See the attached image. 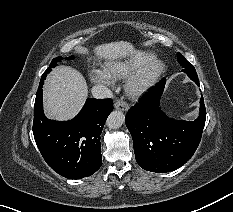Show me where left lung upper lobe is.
Returning <instances> with one entry per match:
<instances>
[{
	"label": "left lung upper lobe",
	"mask_w": 233,
	"mask_h": 212,
	"mask_svg": "<svg viewBox=\"0 0 233 212\" xmlns=\"http://www.w3.org/2000/svg\"><path fill=\"white\" fill-rule=\"evenodd\" d=\"M178 61L180 65L184 68L182 71L186 72V70L195 71V68L191 63H189L180 53L177 54Z\"/></svg>",
	"instance_id": "5c2ea615"
}]
</instances>
